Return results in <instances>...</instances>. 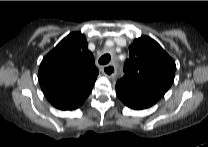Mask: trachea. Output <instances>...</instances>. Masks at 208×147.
I'll list each match as a JSON object with an SVG mask.
<instances>
[{"instance_id": "1", "label": "trachea", "mask_w": 208, "mask_h": 147, "mask_svg": "<svg viewBox=\"0 0 208 147\" xmlns=\"http://www.w3.org/2000/svg\"><path fill=\"white\" fill-rule=\"evenodd\" d=\"M110 60H111V56L109 54H104L103 56L100 57L99 64L106 65L110 62Z\"/></svg>"}]
</instances>
